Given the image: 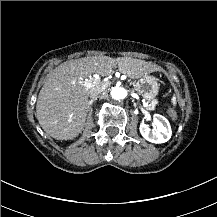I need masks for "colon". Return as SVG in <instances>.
Listing matches in <instances>:
<instances>
[{
    "mask_svg": "<svg viewBox=\"0 0 217 217\" xmlns=\"http://www.w3.org/2000/svg\"><path fill=\"white\" fill-rule=\"evenodd\" d=\"M162 98H163L164 101H166V100H167V95H166V94H163V95H162Z\"/></svg>",
    "mask_w": 217,
    "mask_h": 217,
    "instance_id": "obj_1",
    "label": "colon"
}]
</instances>
